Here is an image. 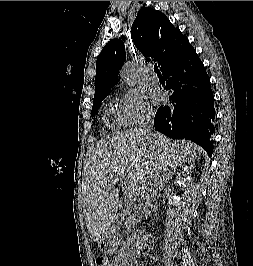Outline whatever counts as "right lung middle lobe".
Here are the masks:
<instances>
[{"label":"right lung middle lobe","mask_w":253,"mask_h":266,"mask_svg":"<svg viewBox=\"0 0 253 266\" xmlns=\"http://www.w3.org/2000/svg\"><path fill=\"white\" fill-rule=\"evenodd\" d=\"M109 94V93H108ZM108 94H104L101 95L100 97L94 99L93 101V106H92V117L95 115V113L97 112L98 108L101 105L102 100L108 95Z\"/></svg>","instance_id":"dd1d6c3e"}]
</instances>
